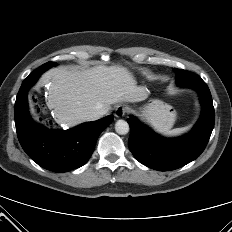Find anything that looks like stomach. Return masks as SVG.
Wrapping results in <instances>:
<instances>
[{
	"label": "stomach",
	"mask_w": 232,
	"mask_h": 232,
	"mask_svg": "<svg viewBox=\"0 0 232 232\" xmlns=\"http://www.w3.org/2000/svg\"><path fill=\"white\" fill-rule=\"evenodd\" d=\"M142 112L149 123L160 132L170 130L176 120L173 107L160 100H152Z\"/></svg>",
	"instance_id": "0dacf381"
}]
</instances>
